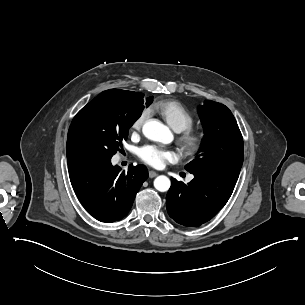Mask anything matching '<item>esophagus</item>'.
Segmentation results:
<instances>
[{"instance_id":"obj_1","label":"esophagus","mask_w":305,"mask_h":305,"mask_svg":"<svg viewBox=\"0 0 305 305\" xmlns=\"http://www.w3.org/2000/svg\"><path fill=\"white\" fill-rule=\"evenodd\" d=\"M158 174L154 171H149V178H154L156 177Z\"/></svg>"}]
</instances>
